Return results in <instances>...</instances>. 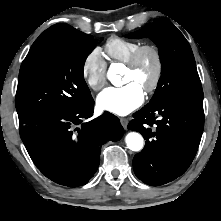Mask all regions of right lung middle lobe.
<instances>
[{"mask_svg":"<svg viewBox=\"0 0 221 221\" xmlns=\"http://www.w3.org/2000/svg\"><path fill=\"white\" fill-rule=\"evenodd\" d=\"M96 41L89 34L46 42L22 62L16 93L19 122L81 107L90 98L83 68Z\"/></svg>","mask_w":221,"mask_h":221,"instance_id":"1","label":"right lung middle lobe"}]
</instances>
